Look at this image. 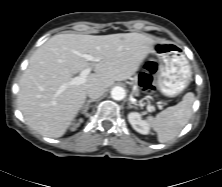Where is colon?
<instances>
[{"instance_id":"1","label":"colon","mask_w":222,"mask_h":187,"mask_svg":"<svg viewBox=\"0 0 222 187\" xmlns=\"http://www.w3.org/2000/svg\"><path fill=\"white\" fill-rule=\"evenodd\" d=\"M156 67L153 65H146L145 67V71L142 74V78H141V85L145 90L148 91H154L155 90V86L153 85L152 79L154 77V75L156 74Z\"/></svg>"}]
</instances>
